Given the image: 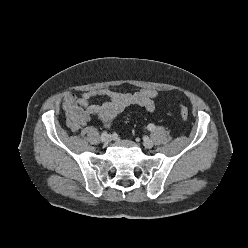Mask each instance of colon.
Returning a JSON list of instances; mask_svg holds the SVG:
<instances>
[{
	"label": "colon",
	"instance_id": "obj_1",
	"mask_svg": "<svg viewBox=\"0 0 248 248\" xmlns=\"http://www.w3.org/2000/svg\"><path fill=\"white\" fill-rule=\"evenodd\" d=\"M180 114L183 120H187L189 117L188 109L183 105L180 106Z\"/></svg>",
	"mask_w": 248,
	"mask_h": 248
}]
</instances>
